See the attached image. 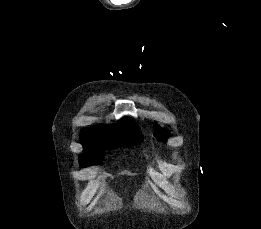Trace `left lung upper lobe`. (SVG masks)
I'll return each mask as SVG.
<instances>
[{
  "mask_svg": "<svg viewBox=\"0 0 261 229\" xmlns=\"http://www.w3.org/2000/svg\"><path fill=\"white\" fill-rule=\"evenodd\" d=\"M169 135L170 133L168 131L160 130L159 127H156L155 136L159 141L166 142Z\"/></svg>",
  "mask_w": 261,
  "mask_h": 229,
  "instance_id": "5c2ea615",
  "label": "left lung upper lobe"
}]
</instances>
